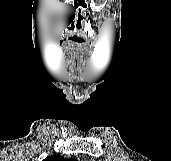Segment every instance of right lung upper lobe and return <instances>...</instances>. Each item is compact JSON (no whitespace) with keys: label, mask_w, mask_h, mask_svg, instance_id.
Instances as JSON below:
<instances>
[{"label":"right lung upper lobe","mask_w":171,"mask_h":161,"mask_svg":"<svg viewBox=\"0 0 171 161\" xmlns=\"http://www.w3.org/2000/svg\"><path fill=\"white\" fill-rule=\"evenodd\" d=\"M43 161H76V160H74V159H72V158L66 159V158H64V157H62V156L54 155V156L47 157V158H46L45 160H43Z\"/></svg>","instance_id":"right-lung-upper-lobe-1"}]
</instances>
